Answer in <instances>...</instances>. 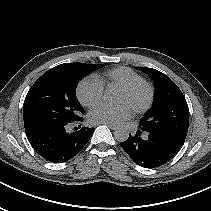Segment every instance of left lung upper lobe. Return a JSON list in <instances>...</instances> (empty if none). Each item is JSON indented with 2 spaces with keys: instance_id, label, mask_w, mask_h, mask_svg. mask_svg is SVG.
<instances>
[{
  "instance_id": "5c2ea615",
  "label": "left lung upper lobe",
  "mask_w": 211,
  "mask_h": 211,
  "mask_svg": "<svg viewBox=\"0 0 211 211\" xmlns=\"http://www.w3.org/2000/svg\"><path fill=\"white\" fill-rule=\"evenodd\" d=\"M136 69L149 75L156 87L154 104L144 114L139 126L144 131L159 133L183 145L189 127V108L183 93L162 72L147 67Z\"/></svg>"
}]
</instances>
